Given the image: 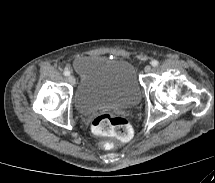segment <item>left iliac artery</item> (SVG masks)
<instances>
[{
  "mask_svg": "<svg viewBox=\"0 0 215 183\" xmlns=\"http://www.w3.org/2000/svg\"><path fill=\"white\" fill-rule=\"evenodd\" d=\"M158 64H159V62H158L157 60H153V61L151 62V65H152L153 67L158 66Z\"/></svg>",
  "mask_w": 215,
  "mask_h": 183,
  "instance_id": "44dca946",
  "label": "left iliac artery"
}]
</instances>
